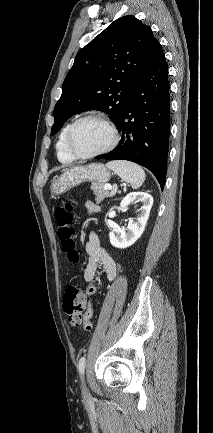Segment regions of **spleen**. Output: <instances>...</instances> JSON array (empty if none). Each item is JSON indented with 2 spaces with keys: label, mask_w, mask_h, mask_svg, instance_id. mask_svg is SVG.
Segmentation results:
<instances>
[{
  "label": "spleen",
  "mask_w": 213,
  "mask_h": 433,
  "mask_svg": "<svg viewBox=\"0 0 213 433\" xmlns=\"http://www.w3.org/2000/svg\"><path fill=\"white\" fill-rule=\"evenodd\" d=\"M106 166L116 173L123 181L129 183L133 189H138L145 181L144 170L129 161H110Z\"/></svg>",
  "instance_id": "spleen-1"
}]
</instances>
